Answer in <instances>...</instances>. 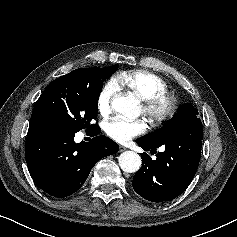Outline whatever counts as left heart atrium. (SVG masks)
<instances>
[{"instance_id": "1", "label": "left heart atrium", "mask_w": 237, "mask_h": 237, "mask_svg": "<svg viewBox=\"0 0 237 237\" xmlns=\"http://www.w3.org/2000/svg\"><path fill=\"white\" fill-rule=\"evenodd\" d=\"M105 131L109 137L120 143H127L133 137L146 131L145 123L140 120H126L114 117L106 123Z\"/></svg>"}]
</instances>
